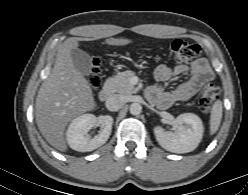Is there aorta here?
Masks as SVG:
<instances>
[{
  "label": "aorta",
  "instance_id": "obj_1",
  "mask_svg": "<svg viewBox=\"0 0 248 195\" xmlns=\"http://www.w3.org/2000/svg\"><path fill=\"white\" fill-rule=\"evenodd\" d=\"M142 112V106L139 103H132L130 105V113L132 115H139Z\"/></svg>",
  "mask_w": 248,
  "mask_h": 195
}]
</instances>
